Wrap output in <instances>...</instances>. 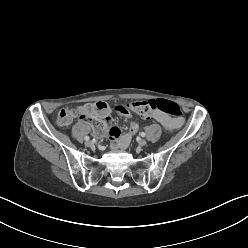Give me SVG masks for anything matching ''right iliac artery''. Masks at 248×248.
Returning a JSON list of instances; mask_svg holds the SVG:
<instances>
[{
  "label": "right iliac artery",
  "instance_id": "1",
  "mask_svg": "<svg viewBox=\"0 0 248 248\" xmlns=\"http://www.w3.org/2000/svg\"><path fill=\"white\" fill-rule=\"evenodd\" d=\"M84 139L87 141L89 140L90 138L88 136H85Z\"/></svg>",
  "mask_w": 248,
  "mask_h": 248
}]
</instances>
